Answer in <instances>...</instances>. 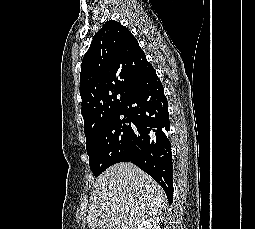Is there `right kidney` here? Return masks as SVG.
Returning <instances> with one entry per match:
<instances>
[{"label": "right kidney", "mask_w": 255, "mask_h": 229, "mask_svg": "<svg viewBox=\"0 0 255 229\" xmlns=\"http://www.w3.org/2000/svg\"><path fill=\"white\" fill-rule=\"evenodd\" d=\"M137 229H161L159 216H153L142 221Z\"/></svg>", "instance_id": "1"}]
</instances>
